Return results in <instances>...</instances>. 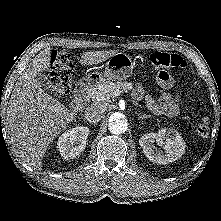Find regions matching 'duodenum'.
I'll use <instances>...</instances> for the list:
<instances>
[{
	"instance_id": "410a0bca",
	"label": "duodenum",
	"mask_w": 221,
	"mask_h": 221,
	"mask_svg": "<svg viewBox=\"0 0 221 221\" xmlns=\"http://www.w3.org/2000/svg\"><path fill=\"white\" fill-rule=\"evenodd\" d=\"M94 84L93 79H85L76 86L72 102L73 108L80 107L86 101Z\"/></svg>"
}]
</instances>
